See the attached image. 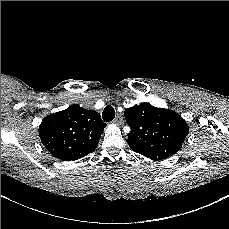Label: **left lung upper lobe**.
I'll use <instances>...</instances> for the list:
<instances>
[{
    "label": "left lung upper lobe",
    "mask_w": 229,
    "mask_h": 229,
    "mask_svg": "<svg viewBox=\"0 0 229 229\" xmlns=\"http://www.w3.org/2000/svg\"><path fill=\"white\" fill-rule=\"evenodd\" d=\"M124 115L131 128L127 139L130 148L156 161L176 154L189 131L179 114L150 103L127 108Z\"/></svg>",
    "instance_id": "left-lung-upper-lobe-1"
}]
</instances>
